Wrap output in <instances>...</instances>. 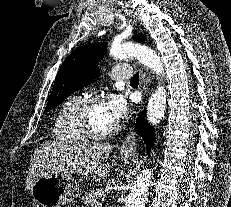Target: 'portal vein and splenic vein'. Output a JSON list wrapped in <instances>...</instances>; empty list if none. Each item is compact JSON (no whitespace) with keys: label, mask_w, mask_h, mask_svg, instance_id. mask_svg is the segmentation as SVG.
Listing matches in <instances>:
<instances>
[{"label":"portal vein and splenic vein","mask_w":231,"mask_h":207,"mask_svg":"<svg viewBox=\"0 0 231 207\" xmlns=\"http://www.w3.org/2000/svg\"><path fill=\"white\" fill-rule=\"evenodd\" d=\"M95 207H102V203H96Z\"/></svg>","instance_id":"1"}]
</instances>
